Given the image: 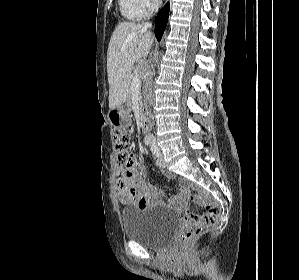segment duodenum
I'll list each match as a JSON object with an SVG mask.
<instances>
[{
    "label": "duodenum",
    "mask_w": 299,
    "mask_h": 280,
    "mask_svg": "<svg viewBox=\"0 0 299 280\" xmlns=\"http://www.w3.org/2000/svg\"><path fill=\"white\" fill-rule=\"evenodd\" d=\"M149 125H150L149 115L147 114V112H144L142 116V122H141V132L143 134L147 133L149 129Z\"/></svg>",
    "instance_id": "duodenum-1"
}]
</instances>
